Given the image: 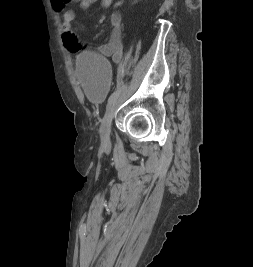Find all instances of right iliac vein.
Instances as JSON below:
<instances>
[{"mask_svg": "<svg viewBox=\"0 0 253 267\" xmlns=\"http://www.w3.org/2000/svg\"><path fill=\"white\" fill-rule=\"evenodd\" d=\"M118 96L108 105L103 120L101 122L99 133L101 140L104 144H108L110 142L111 122L118 107Z\"/></svg>", "mask_w": 253, "mask_h": 267, "instance_id": "1", "label": "right iliac vein"}]
</instances>
